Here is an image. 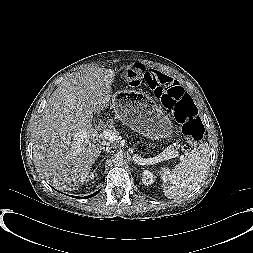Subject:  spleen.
I'll return each instance as SVG.
<instances>
[{"instance_id": "3e777b00", "label": "spleen", "mask_w": 253, "mask_h": 253, "mask_svg": "<svg viewBox=\"0 0 253 253\" xmlns=\"http://www.w3.org/2000/svg\"><path fill=\"white\" fill-rule=\"evenodd\" d=\"M210 149L207 143L191 150L174 169L161 168L159 175L163 181L164 195L169 199L182 198L202 181L208 169Z\"/></svg>"}]
</instances>
